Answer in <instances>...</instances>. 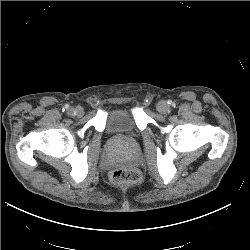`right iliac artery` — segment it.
I'll list each match as a JSON object with an SVG mask.
<instances>
[{"label": "right iliac artery", "instance_id": "1", "mask_svg": "<svg viewBox=\"0 0 250 250\" xmlns=\"http://www.w3.org/2000/svg\"><path fill=\"white\" fill-rule=\"evenodd\" d=\"M65 108H68V105H65Z\"/></svg>", "mask_w": 250, "mask_h": 250}]
</instances>
